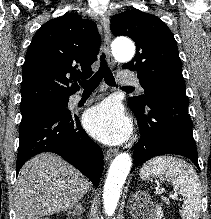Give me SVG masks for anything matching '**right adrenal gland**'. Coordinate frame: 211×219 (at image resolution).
<instances>
[{
	"mask_svg": "<svg viewBox=\"0 0 211 219\" xmlns=\"http://www.w3.org/2000/svg\"><path fill=\"white\" fill-rule=\"evenodd\" d=\"M83 213V208H82V205H81V203H77L76 205H75V207H74V210H72V211H69L68 212V215L69 216H81V214Z\"/></svg>",
	"mask_w": 211,
	"mask_h": 219,
	"instance_id": "obj_1",
	"label": "right adrenal gland"
}]
</instances>
